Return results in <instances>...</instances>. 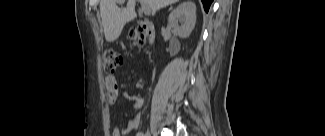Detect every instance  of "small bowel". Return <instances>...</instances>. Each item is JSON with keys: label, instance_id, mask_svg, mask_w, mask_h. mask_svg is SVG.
Wrapping results in <instances>:
<instances>
[{"label": "small bowel", "instance_id": "small-bowel-1", "mask_svg": "<svg viewBox=\"0 0 325 136\" xmlns=\"http://www.w3.org/2000/svg\"><path fill=\"white\" fill-rule=\"evenodd\" d=\"M105 88H106V99L109 104L116 102L120 96V90L118 87V82L115 75L111 74L105 78ZM122 97L126 101H130L133 104V113L131 119L127 122L124 127L114 128L112 131V136H123L135 130L139 127L141 121L140 110L143 107V98L137 94L123 93Z\"/></svg>", "mask_w": 325, "mask_h": 136}]
</instances>
